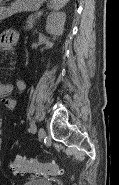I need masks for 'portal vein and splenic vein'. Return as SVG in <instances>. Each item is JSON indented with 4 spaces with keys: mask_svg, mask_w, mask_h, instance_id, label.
<instances>
[{
    "mask_svg": "<svg viewBox=\"0 0 119 185\" xmlns=\"http://www.w3.org/2000/svg\"><path fill=\"white\" fill-rule=\"evenodd\" d=\"M38 15H39V16H41V15H42V12H41V11H39V12H38Z\"/></svg>",
    "mask_w": 119,
    "mask_h": 185,
    "instance_id": "1",
    "label": "portal vein and splenic vein"
}]
</instances>
